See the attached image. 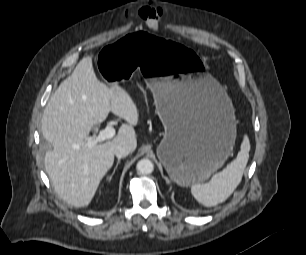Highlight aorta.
Masks as SVG:
<instances>
[{"label":"aorta","mask_w":306,"mask_h":255,"mask_svg":"<svg viewBox=\"0 0 306 255\" xmlns=\"http://www.w3.org/2000/svg\"><path fill=\"white\" fill-rule=\"evenodd\" d=\"M137 171L141 174H151L154 170V164L149 159H141L137 163Z\"/></svg>","instance_id":"762f6f07"}]
</instances>
